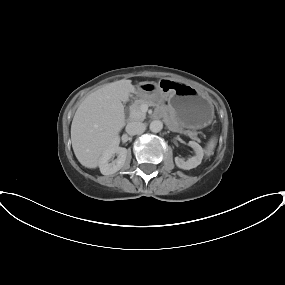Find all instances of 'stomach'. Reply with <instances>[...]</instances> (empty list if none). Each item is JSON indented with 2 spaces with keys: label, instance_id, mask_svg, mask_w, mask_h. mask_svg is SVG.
<instances>
[{
  "label": "stomach",
  "instance_id": "obj_1",
  "mask_svg": "<svg viewBox=\"0 0 285 285\" xmlns=\"http://www.w3.org/2000/svg\"><path fill=\"white\" fill-rule=\"evenodd\" d=\"M138 96L150 100L165 99L178 120L186 128L199 129L211 123L214 109L211 101L195 88L164 78L158 83L146 82L138 86Z\"/></svg>",
  "mask_w": 285,
  "mask_h": 285
}]
</instances>
